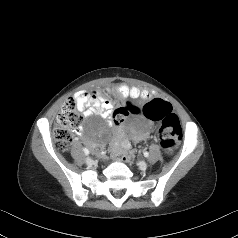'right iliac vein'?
Masks as SVG:
<instances>
[{"mask_svg": "<svg viewBox=\"0 0 238 238\" xmlns=\"http://www.w3.org/2000/svg\"><path fill=\"white\" fill-rule=\"evenodd\" d=\"M85 162H86V164H88V165H89V164H91V163H92V160H91L90 158H88V157H87V158H86V160H85Z\"/></svg>", "mask_w": 238, "mask_h": 238, "instance_id": "obj_1", "label": "right iliac vein"}]
</instances>
